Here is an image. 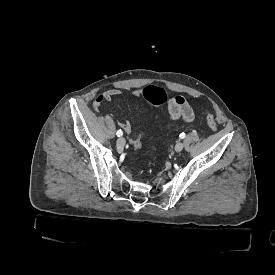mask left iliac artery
<instances>
[{"label": "left iliac artery", "instance_id": "44dca946", "mask_svg": "<svg viewBox=\"0 0 275 275\" xmlns=\"http://www.w3.org/2000/svg\"><path fill=\"white\" fill-rule=\"evenodd\" d=\"M185 133L183 132V133H181L180 135H179V137L181 138V139H184L185 138Z\"/></svg>", "mask_w": 275, "mask_h": 275}]
</instances>
